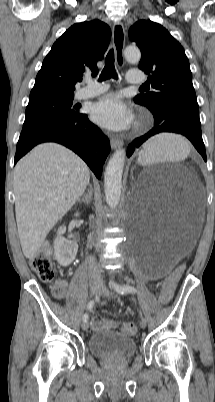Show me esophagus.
<instances>
[{
  "label": "esophagus",
  "mask_w": 215,
  "mask_h": 402,
  "mask_svg": "<svg viewBox=\"0 0 215 402\" xmlns=\"http://www.w3.org/2000/svg\"><path fill=\"white\" fill-rule=\"evenodd\" d=\"M113 46L116 54V61L119 66L124 64L123 51L125 46V31L121 22H116L112 29ZM111 148L117 149L123 145V141L118 138H111Z\"/></svg>",
  "instance_id": "1"
}]
</instances>
